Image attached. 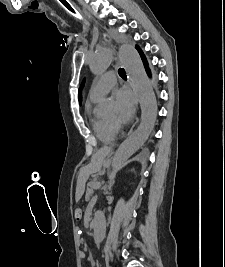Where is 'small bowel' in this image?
I'll list each match as a JSON object with an SVG mask.
<instances>
[{
    "label": "small bowel",
    "instance_id": "obj_1",
    "mask_svg": "<svg viewBox=\"0 0 225 267\" xmlns=\"http://www.w3.org/2000/svg\"><path fill=\"white\" fill-rule=\"evenodd\" d=\"M79 256H80L81 259H84L86 255H85L84 252H80Z\"/></svg>",
    "mask_w": 225,
    "mask_h": 267
}]
</instances>
